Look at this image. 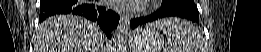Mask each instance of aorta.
<instances>
[{
    "label": "aorta",
    "instance_id": "aorta-1",
    "mask_svg": "<svg viewBox=\"0 0 261 52\" xmlns=\"http://www.w3.org/2000/svg\"><path fill=\"white\" fill-rule=\"evenodd\" d=\"M113 42L115 44V52H122L124 50V30L121 28L116 29Z\"/></svg>",
    "mask_w": 261,
    "mask_h": 52
}]
</instances>
